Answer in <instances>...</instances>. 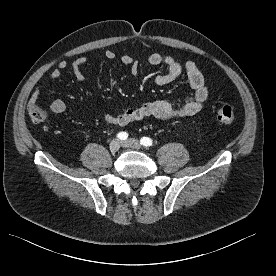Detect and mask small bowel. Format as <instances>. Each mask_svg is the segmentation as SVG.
I'll list each match as a JSON object with an SVG mask.
<instances>
[{
	"instance_id": "c3829d8e",
	"label": "small bowel",
	"mask_w": 276,
	"mask_h": 276,
	"mask_svg": "<svg viewBox=\"0 0 276 276\" xmlns=\"http://www.w3.org/2000/svg\"><path fill=\"white\" fill-rule=\"evenodd\" d=\"M104 57L107 60H114L116 54L107 50L104 53ZM124 66L130 68V72L133 76H138L139 74V64L130 55H123L120 59ZM147 61L151 65H161L163 64L167 68V72L159 74L155 77V83L158 86H164L176 78H178L183 72L185 73L189 85L193 89V95L186 100H184L179 106H173L171 103L163 100L153 101L146 103L135 109H128L124 113L114 116L111 114L104 115V121L108 124L125 126L130 123L142 120L146 117H155L158 119H173L185 116H192L198 113L203 106L208 101V88L205 84L203 75L198 70L196 64L193 61H187L184 64L178 62L172 56H163L159 53H151L147 57ZM87 63V58L85 56H78L72 62V70L74 76L78 82H84L86 80V75L84 72V67ZM68 67V62L66 60H61L58 66L54 68L49 75L50 81L57 80L62 71ZM40 97V89L36 87L30 96V102L36 103ZM51 110L55 114H62L66 111V104L63 100L56 99L51 105Z\"/></svg>"
}]
</instances>
